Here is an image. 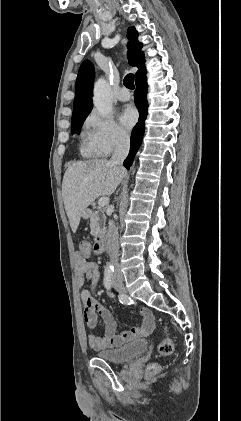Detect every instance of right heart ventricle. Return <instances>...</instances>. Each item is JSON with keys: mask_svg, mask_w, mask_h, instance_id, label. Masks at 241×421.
<instances>
[{"mask_svg": "<svg viewBox=\"0 0 241 421\" xmlns=\"http://www.w3.org/2000/svg\"><path fill=\"white\" fill-rule=\"evenodd\" d=\"M83 151L85 153H91L90 150H89V147H86V146H83Z\"/></svg>", "mask_w": 241, "mask_h": 421, "instance_id": "obj_1", "label": "right heart ventricle"}]
</instances>
